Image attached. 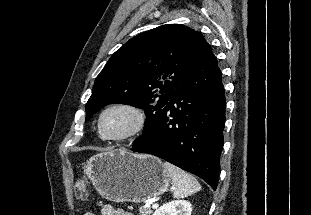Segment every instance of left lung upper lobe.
Returning <instances> with one entry per match:
<instances>
[{
	"label": "left lung upper lobe",
	"mask_w": 311,
	"mask_h": 215,
	"mask_svg": "<svg viewBox=\"0 0 311 215\" xmlns=\"http://www.w3.org/2000/svg\"><path fill=\"white\" fill-rule=\"evenodd\" d=\"M205 42L201 33L180 24L161 25L131 38L97 76L86 104V121L105 105L130 104L145 110L144 135Z\"/></svg>",
	"instance_id": "5c2ea615"
}]
</instances>
